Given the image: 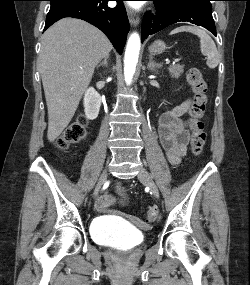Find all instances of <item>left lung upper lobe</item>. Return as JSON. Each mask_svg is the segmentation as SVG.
I'll return each instance as SVG.
<instances>
[{
    "mask_svg": "<svg viewBox=\"0 0 250 285\" xmlns=\"http://www.w3.org/2000/svg\"><path fill=\"white\" fill-rule=\"evenodd\" d=\"M158 1L166 10L173 9L177 6L186 3H196L204 7L211 8V3H210L211 0H158Z\"/></svg>",
    "mask_w": 250,
    "mask_h": 285,
    "instance_id": "left-lung-upper-lobe-1",
    "label": "left lung upper lobe"
}]
</instances>
